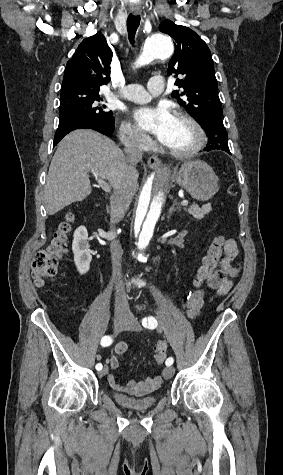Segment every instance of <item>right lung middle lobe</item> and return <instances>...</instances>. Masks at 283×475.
I'll list each match as a JSON object with an SVG mask.
<instances>
[{
	"label": "right lung middle lobe",
	"mask_w": 283,
	"mask_h": 475,
	"mask_svg": "<svg viewBox=\"0 0 283 475\" xmlns=\"http://www.w3.org/2000/svg\"><path fill=\"white\" fill-rule=\"evenodd\" d=\"M103 101L98 93H61L59 117L70 114H84L89 118L100 122H114L112 111L105 110L106 106H100Z\"/></svg>",
	"instance_id": "obj_1"
}]
</instances>
